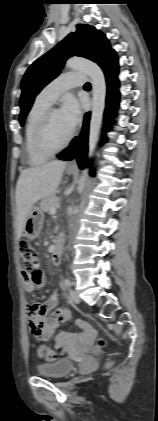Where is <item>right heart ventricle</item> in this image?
<instances>
[{
    "mask_svg": "<svg viewBox=\"0 0 158 421\" xmlns=\"http://www.w3.org/2000/svg\"><path fill=\"white\" fill-rule=\"evenodd\" d=\"M51 104L37 97L32 103L26 118L25 124V152L27 162L32 166H38L45 163L49 156L40 153L35 146V131L43 113Z\"/></svg>",
    "mask_w": 158,
    "mask_h": 421,
    "instance_id": "e07e8e85",
    "label": "right heart ventricle"
}]
</instances>
